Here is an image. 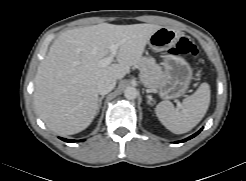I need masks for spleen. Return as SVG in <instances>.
I'll return each instance as SVG.
<instances>
[{"label":"spleen","instance_id":"obj_1","mask_svg":"<svg viewBox=\"0 0 246 181\" xmlns=\"http://www.w3.org/2000/svg\"><path fill=\"white\" fill-rule=\"evenodd\" d=\"M210 95L209 84L202 83L193 95L183 100L181 109L175 108L170 101H162L156 106V115L171 132L186 133L193 129L206 114Z\"/></svg>","mask_w":246,"mask_h":181}]
</instances>
